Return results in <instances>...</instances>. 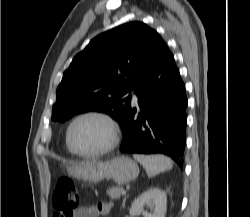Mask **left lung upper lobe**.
I'll return each mask as SVG.
<instances>
[{
  "label": "left lung upper lobe",
  "instance_id": "left-lung-upper-lobe-1",
  "mask_svg": "<svg viewBox=\"0 0 250 217\" xmlns=\"http://www.w3.org/2000/svg\"><path fill=\"white\" fill-rule=\"evenodd\" d=\"M162 42L155 30L137 21L95 37L64 72L52 120L100 111L122 125L131 109V96L125 95L149 70Z\"/></svg>",
  "mask_w": 250,
  "mask_h": 217
}]
</instances>
